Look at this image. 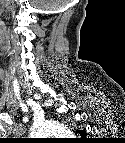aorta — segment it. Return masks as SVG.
Here are the masks:
<instances>
[{
    "mask_svg": "<svg viewBox=\"0 0 125 143\" xmlns=\"http://www.w3.org/2000/svg\"><path fill=\"white\" fill-rule=\"evenodd\" d=\"M31 134L44 137L50 135H70V130L64 124L56 121H41L33 125Z\"/></svg>",
    "mask_w": 125,
    "mask_h": 143,
    "instance_id": "1",
    "label": "aorta"
}]
</instances>
